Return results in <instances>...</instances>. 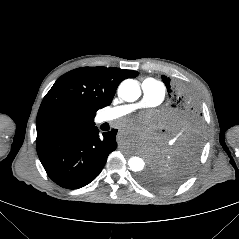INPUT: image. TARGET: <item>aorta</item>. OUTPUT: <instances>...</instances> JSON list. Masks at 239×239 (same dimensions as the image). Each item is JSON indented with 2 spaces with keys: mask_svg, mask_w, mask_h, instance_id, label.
<instances>
[{
  "mask_svg": "<svg viewBox=\"0 0 239 239\" xmlns=\"http://www.w3.org/2000/svg\"><path fill=\"white\" fill-rule=\"evenodd\" d=\"M118 95L124 101H136L141 96V89L138 82L133 79L124 80L118 88ZM128 165L133 171L137 172L144 169L145 162L142 158L133 156L128 160Z\"/></svg>",
  "mask_w": 239,
  "mask_h": 239,
  "instance_id": "aorta-1",
  "label": "aorta"
}]
</instances>
